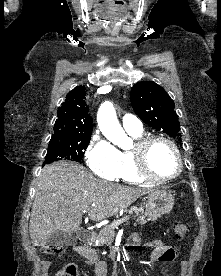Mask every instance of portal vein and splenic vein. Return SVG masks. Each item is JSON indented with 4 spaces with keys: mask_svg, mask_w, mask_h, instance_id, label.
Here are the masks:
<instances>
[{
    "mask_svg": "<svg viewBox=\"0 0 221 276\" xmlns=\"http://www.w3.org/2000/svg\"><path fill=\"white\" fill-rule=\"evenodd\" d=\"M92 206H94V204H92ZM86 211H87V210H84V212H86ZM129 218H130L129 216H125V217H123V218L117 220L116 223H117V225H118L119 223L126 222V221L129 220Z\"/></svg>",
    "mask_w": 221,
    "mask_h": 276,
    "instance_id": "18ae733b",
    "label": "portal vein and splenic vein"
}]
</instances>
